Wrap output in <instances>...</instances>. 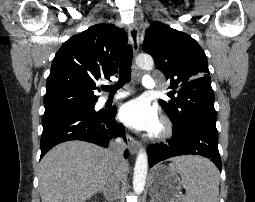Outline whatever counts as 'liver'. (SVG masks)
<instances>
[{
    "label": "liver",
    "instance_id": "6515ba94",
    "mask_svg": "<svg viewBox=\"0 0 255 202\" xmlns=\"http://www.w3.org/2000/svg\"><path fill=\"white\" fill-rule=\"evenodd\" d=\"M115 167L110 150L84 141L61 143L40 162L41 201L85 202L104 189ZM126 171L127 163L122 173Z\"/></svg>",
    "mask_w": 255,
    "mask_h": 202
}]
</instances>
